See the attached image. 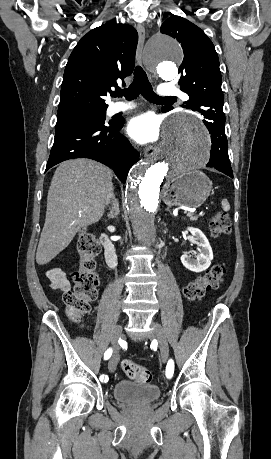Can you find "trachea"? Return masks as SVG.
<instances>
[{
  "instance_id": "obj_1",
  "label": "trachea",
  "mask_w": 271,
  "mask_h": 459,
  "mask_svg": "<svg viewBox=\"0 0 271 459\" xmlns=\"http://www.w3.org/2000/svg\"><path fill=\"white\" fill-rule=\"evenodd\" d=\"M140 93L146 100L153 103H163L171 99V97H159L154 93L145 71L138 65L135 67L134 79L131 85L123 90L117 88L114 96L119 97L124 95L127 100H134Z\"/></svg>"
}]
</instances>
